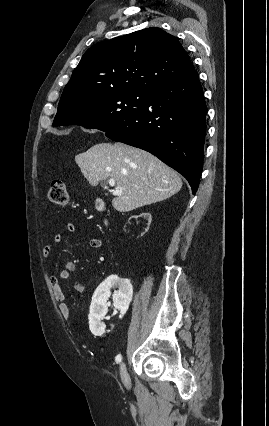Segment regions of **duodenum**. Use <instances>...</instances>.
<instances>
[{"mask_svg":"<svg viewBox=\"0 0 269 426\" xmlns=\"http://www.w3.org/2000/svg\"><path fill=\"white\" fill-rule=\"evenodd\" d=\"M97 207L100 209L103 208V203L100 200L97 201Z\"/></svg>","mask_w":269,"mask_h":426,"instance_id":"1","label":"duodenum"}]
</instances>
